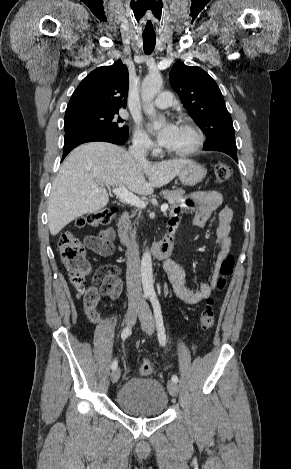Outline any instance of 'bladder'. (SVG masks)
I'll return each mask as SVG.
<instances>
[{"instance_id": "obj_1", "label": "bladder", "mask_w": 291, "mask_h": 469, "mask_svg": "<svg viewBox=\"0 0 291 469\" xmlns=\"http://www.w3.org/2000/svg\"><path fill=\"white\" fill-rule=\"evenodd\" d=\"M168 402L162 383L149 377L129 378L116 394L118 407L133 416H159L167 409Z\"/></svg>"}]
</instances>
